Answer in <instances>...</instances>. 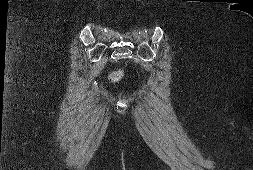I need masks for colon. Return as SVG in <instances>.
I'll list each match as a JSON object with an SVG mask.
<instances>
[{"mask_svg":"<svg viewBox=\"0 0 253 170\" xmlns=\"http://www.w3.org/2000/svg\"><path fill=\"white\" fill-rule=\"evenodd\" d=\"M122 76H123L122 71H120V70H119V71H116V72H114V73L111 75V80H112L113 82H117V81L121 80Z\"/></svg>","mask_w":253,"mask_h":170,"instance_id":"obj_1","label":"colon"}]
</instances>
